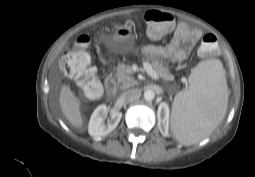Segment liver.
Returning <instances> with one entry per match:
<instances>
[{
    "instance_id": "1",
    "label": "liver",
    "mask_w": 255,
    "mask_h": 177,
    "mask_svg": "<svg viewBox=\"0 0 255 177\" xmlns=\"http://www.w3.org/2000/svg\"><path fill=\"white\" fill-rule=\"evenodd\" d=\"M59 104L67 120L74 127L82 128L83 120L81 117L79 100L67 85L61 87Z\"/></svg>"
}]
</instances>
